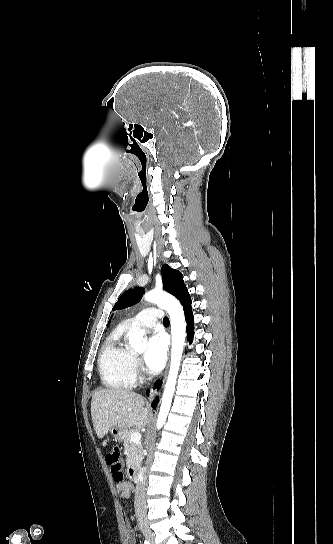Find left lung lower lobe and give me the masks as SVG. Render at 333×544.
I'll return each mask as SVG.
<instances>
[{
	"label": "left lung lower lobe",
	"mask_w": 333,
	"mask_h": 544,
	"mask_svg": "<svg viewBox=\"0 0 333 544\" xmlns=\"http://www.w3.org/2000/svg\"><path fill=\"white\" fill-rule=\"evenodd\" d=\"M185 318L187 322V334H188V340L191 343L194 336V320H193V314H192V308H191V302H186L183 305Z\"/></svg>",
	"instance_id": "0a47b994"
}]
</instances>
